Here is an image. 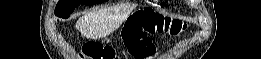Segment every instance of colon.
I'll list each match as a JSON object with an SVG mask.
<instances>
[{
	"mask_svg": "<svg viewBox=\"0 0 261 59\" xmlns=\"http://www.w3.org/2000/svg\"><path fill=\"white\" fill-rule=\"evenodd\" d=\"M184 26L180 22L169 21L163 16L153 12H143L136 23L127 33L126 40L130 52L136 59H144L153 56L156 49L151 36L162 32L178 35ZM112 59L115 57L111 49H104L98 44L90 43L83 48L81 58Z\"/></svg>",
	"mask_w": 261,
	"mask_h": 59,
	"instance_id": "5ec220e1",
	"label": "colon"
}]
</instances>
